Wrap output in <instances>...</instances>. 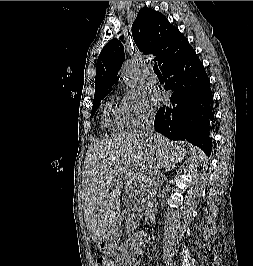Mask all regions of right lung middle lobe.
Instances as JSON below:
<instances>
[{
  "instance_id": "1",
  "label": "right lung middle lobe",
  "mask_w": 253,
  "mask_h": 266,
  "mask_svg": "<svg viewBox=\"0 0 253 266\" xmlns=\"http://www.w3.org/2000/svg\"><path fill=\"white\" fill-rule=\"evenodd\" d=\"M106 96V94L104 95H101L97 98L94 99V102H93V107H92V116L95 114V112L97 111L98 107H99V104L101 102V100Z\"/></svg>"
}]
</instances>
